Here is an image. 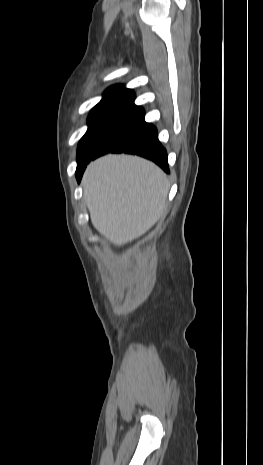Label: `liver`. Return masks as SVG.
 <instances>
[{"label": "liver", "mask_w": 263, "mask_h": 465, "mask_svg": "<svg viewBox=\"0 0 263 465\" xmlns=\"http://www.w3.org/2000/svg\"><path fill=\"white\" fill-rule=\"evenodd\" d=\"M82 185L93 226L118 246L145 234L166 209V174L137 156L111 154L95 160Z\"/></svg>", "instance_id": "1"}]
</instances>
